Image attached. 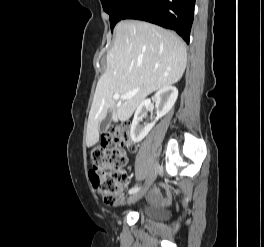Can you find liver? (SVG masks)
<instances>
[{"label": "liver", "instance_id": "6515ba94", "mask_svg": "<svg viewBox=\"0 0 264 247\" xmlns=\"http://www.w3.org/2000/svg\"><path fill=\"white\" fill-rule=\"evenodd\" d=\"M106 63L89 113L87 147L99 141V124L108 110L114 122L128 120L150 93L177 83L185 71L187 52L173 32L147 22L124 20L115 27V42ZM131 92L136 95L130 99H113L115 93Z\"/></svg>", "mask_w": 264, "mask_h": 247}]
</instances>
